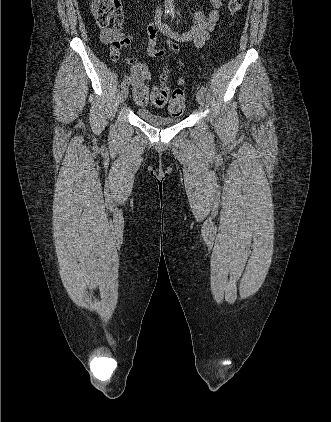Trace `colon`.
Wrapping results in <instances>:
<instances>
[{
    "label": "colon",
    "instance_id": "1",
    "mask_svg": "<svg viewBox=\"0 0 331 422\" xmlns=\"http://www.w3.org/2000/svg\"><path fill=\"white\" fill-rule=\"evenodd\" d=\"M243 7V0H230L228 8L230 14L237 16ZM91 11L97 24L100 27H106L110 21L118 22L121 19L120 2L119 0H91ZM132 74L138 78L142 85L135 91V96L138 101L144 102L148 96V90L145 83L150 79V71L143 63H137L132 68ZM168 69H164L160 86L155 87L151 92V99L155 106H164L169 98L170 91L165 85L167 80ZM186 106V98L182 89L177 88L172 91L168 104V111L171 115H181Z\"/></svg>",
    "mask_w": 331,
    "mask_h": 422
}]
</instances>
